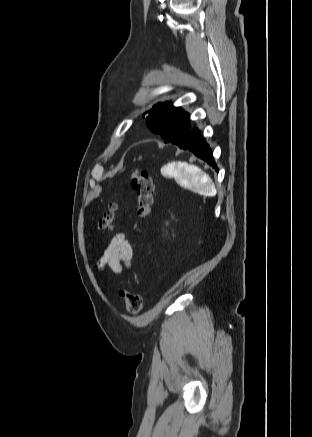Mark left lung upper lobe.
I'll return each mask as SVG.
<instances>
[{
  "mask_svg": "<svg viewBox=\"0 0 312 437\" xmlns=\"http://www.w3.org/2000/svg\"><path fill=\"white\" fill-rule=\"evenodd\" d=\"M189 115L171 103H158L146 116L147 126L161 135L165 143H173L186 136L190 129Z\"/></svg>",
  "mask_w": 312,
  "mask_h": 437,
  "instance_id": "obj_1",
  "label": "left lung upper lobe"
}]
</instances>
